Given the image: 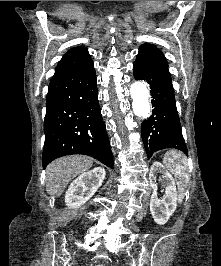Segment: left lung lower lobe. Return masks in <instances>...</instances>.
Listing matches in <instances>:
<instances>
[{
    "instance_id": "left-lung-lower-lobe-1",
    "label": "left lung lower lobe",
    "mask_w": 221,
    "mask_h": 266,
    "mask_svg": "<svg viewBox=\"0 0 221 266\" xmlns=\"http://www.w3.org/2000/svg\"><path fill=\"white\" fill-rule=\"evenodd\" d=\"M133 73L136 80H145L151 89L154 109L149 119L141 124L147 157L165 148H175L188 154L169 71L147 67L135 61Z\"/></svg>"
}]
</instances>
